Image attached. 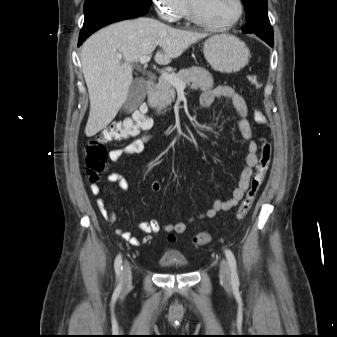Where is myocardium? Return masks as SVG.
I'll return each mask as SVG.
<instances>
[{"label": "myocardium", "mask_w": 337, "mask_h": 337, "mask_svg": "<svg viewBox=\"0 0 337 337\" xmlns=\"http://www.w3.org/2000/svg\"><path fill=\"white\" fill-rule=\"evenodd\" d=\"M236 3V14L235 16L228 22L218 24L210 22L198 13L194 3L192 0H187L188 11L190 15V19L196 24L205 27L207 29L216 30V31H224L234 27L242 18L244 14V4L242 0H235Z\"/></svg>", "instance_id": "1"}]
</instances>
